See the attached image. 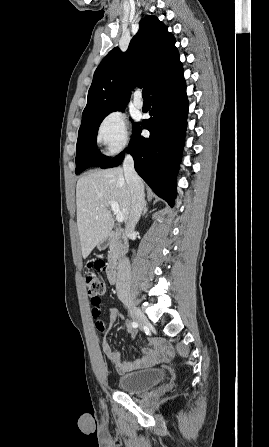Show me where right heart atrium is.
Masks as SVG:
<instances>
[{
    "instance_id": "obj_1",
    "label": "right heart atrium",
    "mask_w": 269,
    "mask_h": 447,
    "mask_svg": "<svg viewBox=\"0 0 269 447\" xmlns=\"http://www.w3.org/2000/svg\"><path fill=\"white\" fill-rule=\"evenodd\" d=\"M95 140L103 154L119 153L131 141L126 115L119 110L109 112L97 127Z\"/></svg>"
}]
</instances>
